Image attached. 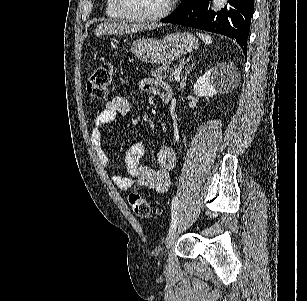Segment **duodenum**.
<instances>
[{
  "label": "duodenum",
  "mask_w": 307,
  "mask_h": 301,
  "mask_svg": "<svg viewBox=\"0 0 307 301\" xmlns=\"http://www.w3.org/2000/svg\"><path fill=\"white\" fill-rule=\"evenodd\" d=\"M161 98H162L163 102L168 103L171 99V93H166Z\"/></svg>",
  "instance_id": "duodenum-1"
}]
</instances>
